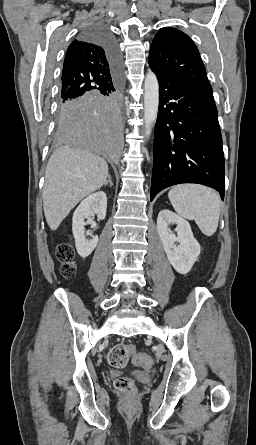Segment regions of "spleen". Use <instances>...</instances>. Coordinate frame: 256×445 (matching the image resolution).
<instances>
[{"mask_svg":"<svg viewBox=\"0 0 256 445\" xmlns=\"http://www.w3.org/2000/svg\"><path fill=\"white\" fill-rule=\"evenodd\" d=\"M174 210L182 217L195 220L207 236L213 235L218 227L220 215L219 195L205 186L181 184L168 193Z\"/></svg>","mask_w":256,"mask_h":445,"instance_id":"3e777b00","label":"spleen"}]
</instances>
